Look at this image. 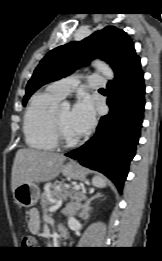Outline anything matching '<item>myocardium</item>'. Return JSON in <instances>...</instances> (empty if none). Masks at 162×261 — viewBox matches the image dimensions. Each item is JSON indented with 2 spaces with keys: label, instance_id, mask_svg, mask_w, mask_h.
Segmentation results:
<instances>
[{
  "label": "myocardium",
  "instance_id": "f54148a6",
  "mask_svg": "<svg viewBox=\"0 0 162 261\" xmlns=\"http://www.w3.org/2000/svg\"><path fill=\"white\" fill-rule=\"evenodd\" d=\"M50 124H51V130H52L53 137L57 144H59L63 147H66V148H70V147L75 146L79 142L78 138L70 139L65 136L64 132L62 131V129L58 123L55 110H53L51 113Z\"/></svg>",
  "mask_w": 162,
  "mask_h": 261
}]
</instances>
